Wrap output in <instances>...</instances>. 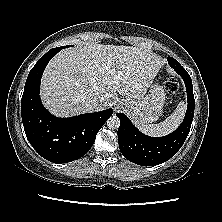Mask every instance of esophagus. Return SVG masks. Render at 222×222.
I'll return each mask as SVG.
<instances>
[{
  "instance_id": "1",
  "label": "esophagus",
  "mask_w": 222,
  "mask_h": 222,
  "mask_svg": "<svg viewBox=\"0 0 222 222\" xmlns=\"http://www.w3.org/2000/svg\"><path fill=\"white\" fill-rule=\"evenodd\" d=\"M119 107H115V110L118 109Z\"/></svg>"
}]
</instances>
